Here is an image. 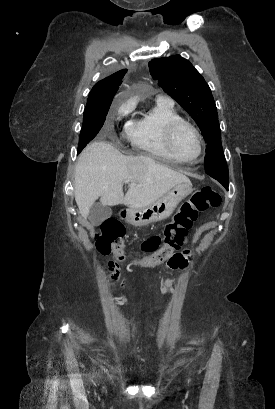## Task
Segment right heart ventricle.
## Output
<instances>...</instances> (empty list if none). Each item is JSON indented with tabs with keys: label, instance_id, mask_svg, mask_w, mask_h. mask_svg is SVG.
Returning a JSON list of instances; mask_svg holds the SVG:
<instances>
[{
	"label": "right heart ventricle",
	"instance_id": "obj_1",
	"mask_svg": "<svg viewBox=\"0 0 275 409\" xmlns=\"http://www.w3.org/2000/svg\"><path fill=\"white\" fill-rule=\"evenodd\" d=\"M182 120L172 105L158 103L141 119L126 127L132 152L149 157H172L166 144L169 125Z\"/></svg>",
	"mask_w": 275,
	"mask_h": 409
}]
</instances>
